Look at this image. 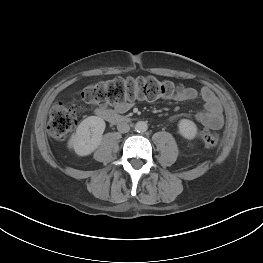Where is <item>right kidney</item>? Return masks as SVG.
Listing matches in <instances>:
<instances>
[{"label":"right kidney","mask_w":263,"mask_h":263,"mask_svg":"<svg viewBox=\"0 0 263 263\" xmlns=\"http://www.w3.org/2000/svg\"><path fill=\"white\" fill-rule=\"evenodd\" d=\"M105 126L102 118L87 117L77 127L76 133L69 141V147L73 148L79 156L91 154L100 145Z\"/></svg>","instance_id":"ca27d5eb"}]
</instances>
